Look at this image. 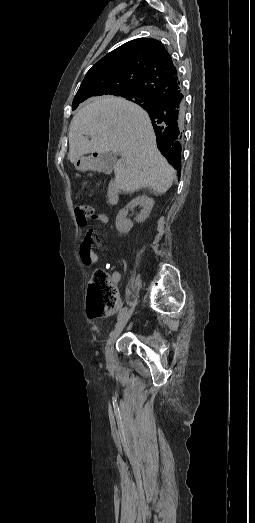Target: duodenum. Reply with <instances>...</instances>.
Wrapping results in <instances>:
<instances>
[{
  "label": "duodenum",
  "mask_w": 255,
  "mask_h": 523,
  "mask_svg": "<svg viewBox=\"0 0 255 523\" xmlns=\"http://www.w3.org/2000/svg\"><path fill=\"white\" fill-rule=\"evenodd\" d=\"M82 166L83 169L88 171L102 172L106 174L111 172V165L108 161L101 155L97 154L86 157L82 161ZM108 201L112 205L117 204L119 201V188L115 181H113L109 186Z\"/></svg>",
  "instance_id": "obj_1"
}]
</instances>
